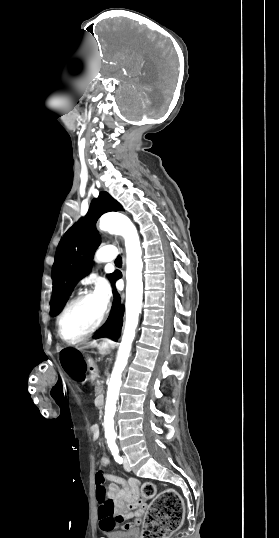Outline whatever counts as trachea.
<instances>
[{"instance_id": "1", "label": "trachea", "mask_w": 279, "mask_h": 538, "mask_svg": "<svg viewBox=\"0 0 279 538\" xmlns=\"http://www.w3.org/2000/svg\"><path fill=\"white\" fill-rule=\"evenodd\" d=\"M122 263V258L121 256H118L115 260V264H121Z\"/></svg>"}]
</instances>
